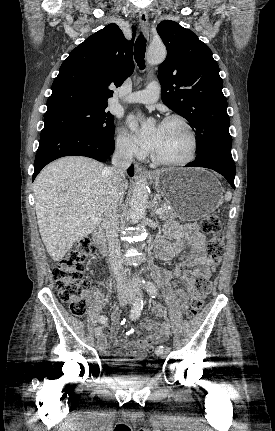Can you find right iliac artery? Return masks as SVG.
<instances>
[{"label":"right iliac artery","mask_w":275,"mask_h":431,"mask_svg":"<svg viewBox=\"0 0 275 431\" xmlns=\"http://www.w3.org/2000/svg\"><path fill=\"white\" fill-rule=\"evenodd\" d=\"M142 308H143V300H142L141 297H137L135 299V302H134L133 306H132L131 313H130V318L132 320L138 319L139 316H140V314H141ZM99 322L101 324H105L107 322V317L104 316V315L100 316L99 317Z\"/></svg>","instance_id":"right-iliac-artery-1"}]
</instances>
